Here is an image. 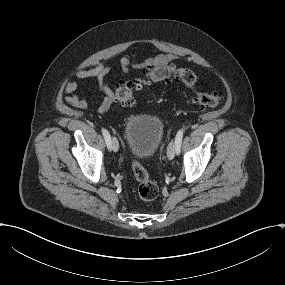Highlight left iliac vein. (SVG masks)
Here are the masks:
<instances>
[{
  "mask_svg": "<svg viewBox=\"0 0 285 285\" xmlns=\"http://www.w3.org/2000/svg\"><path fill=\"white\" fill-rule=\"evenodd\" d=\"M176 154H177L176 145L174 144V141H171L168 145V150H167L168 160H172Z\"/></svg>",
  "mask_w": 285,
  "mask_h": 285,
  "instance_id": "4c4485c4",
  "label": "left iliac vein"
}]
</instances>
